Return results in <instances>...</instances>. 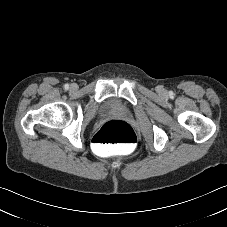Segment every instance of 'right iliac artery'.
I'll list each match as a JSON object with an SVG mask.
<instances>
[{
	"label": "right iliac artery",
	"instance_id": "1",
	"mask_svg": "<svg viewBox=\"0 0 227 227\" xmlns=\"http://www.w3.org/2000/svg\"><path fill=\"white\" fill-rule=\"evenodd\" d=\"M64 88H65L66 90H68V89H69V85H68V84H65V85H64Z\"/></svg>",
	"mask_w": 227,
	"mask_h": 227
}]
</instances>
